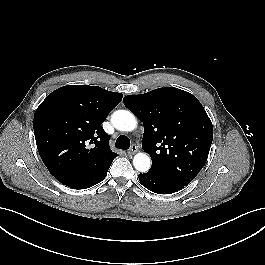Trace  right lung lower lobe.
<instances>
[{
  "mask_svg": "<svg viewBox=\"0 0 265 265\" xmlns=\"http://www.w3.org/2000/svg\"><path fill=\"white\" fill-rule=\"evenodd\" d=\"M108 169L109 168L105 169L104 171L98 174L70 181L64 184L73 189H86L92 187L95 184L101 182L106 177Z\"/></svg>",
  "mask_w": 265,
  "mask_h": 265,
  "instance_id": "98d812e1",
  "label": "right lung lower lobe"
}]
</instances>
